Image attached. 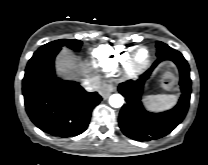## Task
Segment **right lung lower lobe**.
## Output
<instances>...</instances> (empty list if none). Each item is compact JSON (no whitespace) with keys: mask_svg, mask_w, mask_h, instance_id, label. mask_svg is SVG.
Segmentation results:
<instances>
[{"mask_svg":"<svg viewBox=\"0 0 208 165\" xmlns=\"http://www.w3.org/2000/svg\"><path fill=\"white\" fill-rule=\"evenodd\" d=\"M60 50L54 48L29 60L22 82L24 103L31 121L42 131L77 136L87 129L91 112L102 98L77 82L56 77L54 60Z\"/></svg>","mask_w":208,"mask_h":165,"instance_id":"right-lung-lower-lobe-1","label":"right lung lower lobe"}]
</instances>
